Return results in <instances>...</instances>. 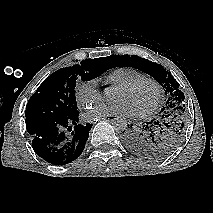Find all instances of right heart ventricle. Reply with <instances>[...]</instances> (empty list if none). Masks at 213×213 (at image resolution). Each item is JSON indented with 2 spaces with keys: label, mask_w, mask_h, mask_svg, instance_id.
<instances>
[{
  "label": "right heart ventricle",
  "mask_w": 213,
  "mask_h": 213,
  "mask_svg": "<svg viewBox=\"0 0 213 213\" xmlns=\"http://www.w3.org/2000/svg\"><path fill=\"white\" fill-rule=\"evenodd\" d=\"M143 77H145V75L138 69L118 67L105 76V83L112 87H119Z\"/></svg>",
  "instance_id": "1"
}]
</instances>
